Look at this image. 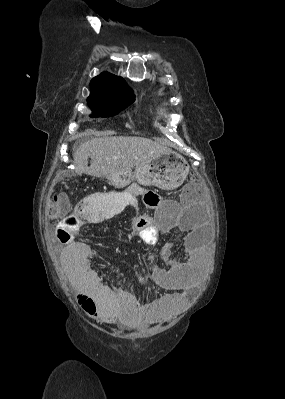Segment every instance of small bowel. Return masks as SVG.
<instances>
[{
    "mask_svg": "<svg viewBox=\"0 0 285 399\" xmlns=\"http://www.w3.org/2000/svg\"><path fill=\"white\" fill-rule=\"evenodd\" d=\"M146 193L147 191L139 186L131 185L121 193L85 197L75 205L73 220L63 222L59 228L61 231L78 232L84 227L100 225L130 209L133 211L129 220L130 228L138 229L145 243L154 244L161 235V229L148 216L138 212V197ZM149 208L160 210L161 204ZM191 210L196 213L193 206ZM140 221L143 224L138 228ZM179 228L177 222L170 225L171 230ZM200 240V232L187 233L182 240L185 247L182 257L171 256L176 241L166 245L161 254L169 263L168 269L160 268L154 262V255L148 256L154 281L160 288L170 292L145 304L140 303L132 293L123 288L111 287L101 281L90 264L95 250L85 241L66 243L61 249V261L76 289L78 304L91 317L105 323L125 322L145 326L166 320L189 304L197 289V279L205 268L204 250Z\"/></svg>",
    "mask_w": 285,
    "mask_h": 399,
    "instance_id": "small-bowel-1",
    "label": "small bowel"
}]
</instances>
